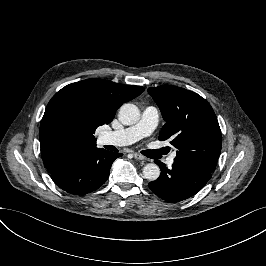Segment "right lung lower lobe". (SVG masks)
I'll use <instances>...</instances> for the list:
<instances>
[{
    "mask_svg": "<svg viewBox=\"0 0 266 266\" xmlns=\"http://www.w3.org/2000/svg\"><path fill=\"white\" fill-rule=\"evenodd\" d=\"M122 156L92 147L66 155L51 173L52 180L62 190L84 195L98 189L109 177L113 161Z\"/></svg>",
    "mask_w": 266,
    "mask_h": 266,
    "instance_id": "right-lung-lower-lobe-1",
    "label": "right lung lower lobe"
}]
</instances>
